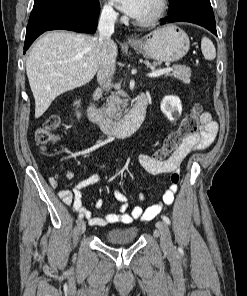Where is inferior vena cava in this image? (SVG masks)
I'll use <instances>...</instances> for the list:
<instances>
[{
	"label": "inferior vena cava",
	"instance_id": "inferior-vena-cava-1",
	"mask_svg": "<svg viewBox=\"0 0 247 296\" xmlns=\"http://www.w3.org/2000/svg\"><path fill=\"white\" fill-rule=\"evenodd\" d=\"M116 19L117 13L111 7H105L101 12L98 22L101 61L97 73V80L107 92L112 87V76L115 72V57L111 50L113 43L111 35L114 33Z\"/></svg>",
	"mask_w": 247,
	"mask_h": 296
}]
</instances>
